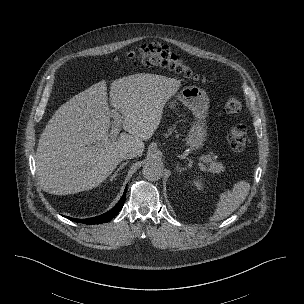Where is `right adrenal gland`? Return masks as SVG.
I'll return each mask as SVG.
<instances>
[{
  "label": "right adrenal gland",
  "mask_w": 304,
  "mask_h": 304,
  "mask_svg": "<svg viewBox=\"0 0 304 304\" xmlns=\"http://www.w3.org/2000/svg\"><path fill=\"white\" fill-rule=\"evenodd\" d=\"M127 163H128V162H124V163H122V164L119 166V168H118V169L114 172V174L110 177V181H113V179H115V178L117 177L118 172H119L120 170H122V169L124 168V166L127 165Z\"/></svg>",
  "instance_id": "right-adrenal-gland-1"
}]
</instances>
